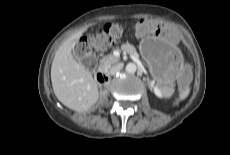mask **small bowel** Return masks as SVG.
I'll return each mask as SVG.
<instances>
[{"label": "small bowel", "mask_w": 230, "mask_h": 155, "mask_svg": "<svg viewBox=\"0 0 230 155\" xmlns=\"http://www.w3.org/2000/svg\"><path fill=\"white\" fill-rule=\"evenodd\" d=\"M137 31L141 35L156 31L157 35L162 36V39L166 42L170 41V44L173 46L178 45L180 42L179 36L176 35V30L166 22L143 18L137 26Z\"/></svg>", "instance_id": "obj_1"}]
</instances>
